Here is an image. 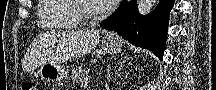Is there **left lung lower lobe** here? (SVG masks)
Instances as JSON below:
<instances>
[{"mask_svg": "<svg viewBox=\"0 0 216 90\" xmlns=\"http://www.w3.org/2000/svg\"><path fill=\"white\" fill-rule=\"evenodd\" d=\"M174 0H160L148 15L138 12L137 1H123L118 10L101 23V27L116 31L130 43L152 51L162 60Z\"/></svg>", "mask_w": 216, "mask_h": 90, "instance_id": "left-lung-lower-lobe-1", "label": "left lung lower lobe"}]
</instances>
